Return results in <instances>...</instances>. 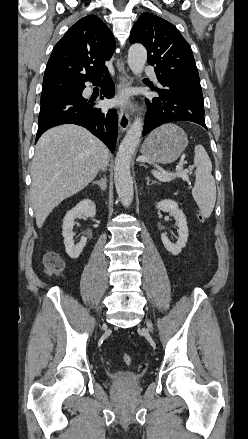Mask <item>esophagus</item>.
<instances>
[{"label":"esophagus","instance_id":"esophagus-1","mask_svg":"<svg viewBox=\"0 0 248 439\" xmlns=\"http://www.w3.org/2000/svg\"><path fill=\"white\" fill-rule=\"evenodd\" d=\"M117 67L120 72L118 90L121 92L132 86V79L129 76L128 72L125 70L124 65L121 61H118ZM118 121L121 131L125 132L130 126V115L125 107L120 108L118 112Z\"/></svg>","mask_w":248,"mask_h":439}]
</instances>
